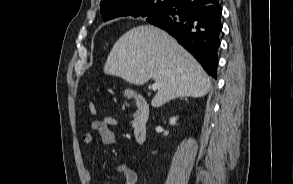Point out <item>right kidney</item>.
I'll return each instance as SVG.
<instances>
[{
    "instance_id": "ca27d5eb",
    "label": "right kidney",
    "mask_w": 293,
    "mask_h": 184,
    "mask_svg": "<svg viewBox=\"0 0 293 184\" xmlns=\"http://www.w3.org/2000/svg\"><path fill=\"white\" fill-rule=\"evenodd\" d=\"M176 120H177V117H173V118L170 119L169 122H170L171 125H175Z\"/></svg>"
}]
</instances>
